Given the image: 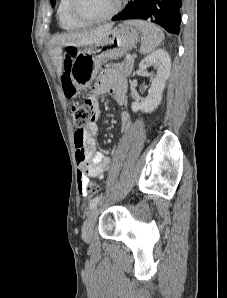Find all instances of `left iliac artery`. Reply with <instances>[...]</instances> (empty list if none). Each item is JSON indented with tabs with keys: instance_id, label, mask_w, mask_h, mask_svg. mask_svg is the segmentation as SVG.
<instances>
[{
	"instance_id": "44dca946",
	"label": "left iliac artery",
	"mask_w": 227,
	"mask_h": 298,
	"mask_svg": "<svg viewBox=\"0 0 227 298\" xmlns=\"http://www.w3.org/2000/svg\"><path fill=\"white\" fill-rule=\"evenodd\" d=\"M102 199V196H96L94 199H92L90 201V204H89V208L90 209H93L94 207H96V205L98 204V202Z\"/></svg>"
}]
</instances>
